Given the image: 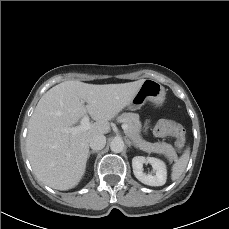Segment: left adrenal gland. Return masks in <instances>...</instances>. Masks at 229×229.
<instances>
[{"label":"left adrenal gland","mask_w":229,"mask_h":229,"mask_svg":"<svg viewBox=\"0 0 229 229\" xmlns=\"http://www.w3.org/2000/svg\"><path fill=\"white\" fill-rule=\"evenodd\" d=\"M134 144L130 141V140H128V146L130 147V146H133ZM135 146V145H134Z\"/></svg>","instance_id":"obj_1"}]
</instances>
